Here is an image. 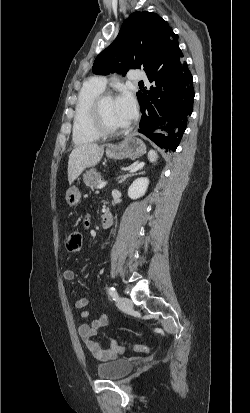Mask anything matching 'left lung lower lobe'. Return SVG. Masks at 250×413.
<instances>
[{"label": "left lung lower lobe", "instance_id": "obj_1", "mask_svg": "<svg viewBox=\"0 0 250 413\" xmlns=\"http://www.w3.org/2000/svg\"><path fill=\"white\" fill-rule=\"evenodd\" d=\"M146 74L151 85L137 93L142 112L138 131L166 151H175L194 101L193 78L178 38L159 43L155 65Z\"/></svg>", "mask_w": 250, "mask_h": 413}]
</instances>
